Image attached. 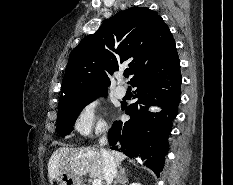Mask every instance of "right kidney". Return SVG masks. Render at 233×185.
I'll list each match as a JSON object with an SVG mask.
<instances>
[{
    "label": "right kidney",
    "mask_w": 233,
    "mask_h": 185,
    "mask_svg": "<svg viewBox=\"0 0 233 185\" xmlns=\"http://www.w3.org/2000/svg\"><path fill=\"white\" fill-rule=\"evenodd\" d=\"M130 185H141V184H139V183H132V184H130Z\"/></svg>",
    "instance_id": "ca27d5eb"
}]
</instances>
